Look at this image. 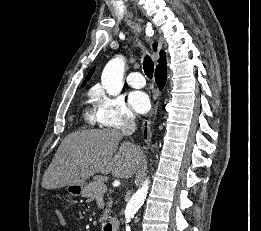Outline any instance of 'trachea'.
Returning <instances> with one entry per match:
<instances>
[{"instance_id": "trachea-1", "label": "trachea", "mask_w": 261, "mask_h": 231, "mask_svg": "<svg viewBox=\"0 0 261 231\" xmlns=\"http://www.w3.org/2000/svg\"><path fill=\"white\" fill-rule=\"evenodd\" d=\"M143 68H144V72L147 75V77L152 78L153 71H154V63L148 55H146L144 58Z\"/></svg>"}]
</instances>
